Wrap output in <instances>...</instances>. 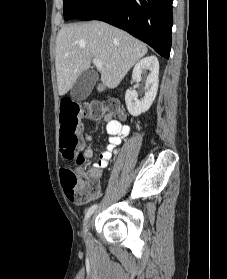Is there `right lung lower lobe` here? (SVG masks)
I'll use <instances>...</instances> for the list:
<instances>
[{"mask_svg":"<svg viewBox=\"0 0 227 279\" xmlns=\"http://www.w3.org/2000/svg\"><path fill=\"white\" fill-rule=\"evenodd\" d=\"M173 0H93L79 20H101L151 46L166 59L171 49Z\"/></svg>","mask_w":227,"mask_h":279,"instance_id":"obj_1","label":"right lung lower lobe"}]
</instances>
